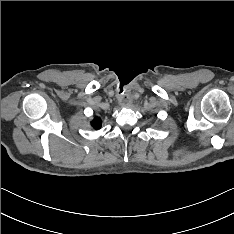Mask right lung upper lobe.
<instances>
[{
  "label": "right lung upper lobe",
  "instance_id": "obj_1",
  "mask_svg": "<svg viewBox=\"0 0 234 234\" xmlns=\"http://www.w3.org/2000/svg\"><path fill=\"white\" fill-rule=\"evenodd\" d=\"M102 121L99 117H94V119L91 121V126L94 129H99L101 127Z\"/></svg>",
  "mask_w": 234,
  "mask_h": 234
}]
</instances>
